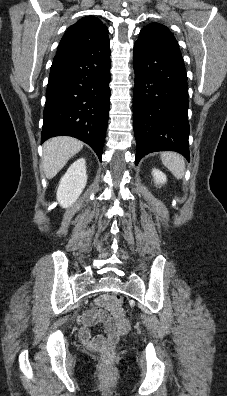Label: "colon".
Returning <instances> with one entry per match:
<instances>
[{
	"label": "colon",
	"instance_id": "1",
	"mask_svg": "<svg viewBox=\"0 0 227 396\" xmlns=\"http://www.w3.org/2000/svg\"><path fill=\"white\" fill-rule=\"evenodd\" d=\"M113 302L117 307H120L124 302V298L121 294L117 293L113 297ZM114 354V348L112 346H106L103 351V362L106 365L110 364L114 359Z\"/></svg>",
	"mask_w": 227,
	"mask_h": 396
}]
</instances>
